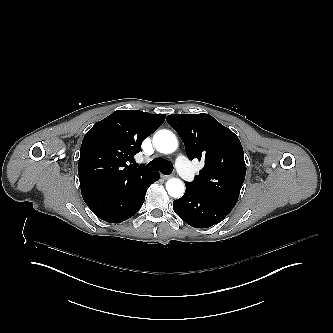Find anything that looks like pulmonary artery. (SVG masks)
Wrapping results in <instances>:
<instances>
[{"label": "pulmonary artery", "mask_w": 333, "mask_h": 333, "mask_svg": "<svg viewBox=\"0 0 333 333\" xmlns=\"http://www.w3.org/2000/svg\"><path fill=\"white\" fill-rule=\"evenodd\" d=\"M175 168L180 173L181 177H184L187 182H195L196 181V174L193 173V167L190 166V163L187 161V158L183 155H176L175 156Z\"/></svg>", "instance_id": "1"}]
</instances>
